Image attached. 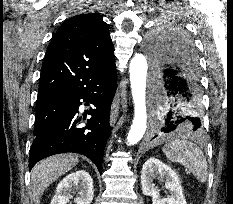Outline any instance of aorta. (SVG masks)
Returning a JSON list of instances; mask_svg holds the SVG:
<instances>
[{"mask_svg":"<svg viewBox=\"0 0 233 204\" xmlns=\"http://www.w3.org/2000/svg\"><path fill=\"white\" fill-rule=\"evenodd\" d=\"M148 64L143 54H136L130 61L129 73L134 102V119L127 136V143H138L147 128L146 77Z\"/></svg>","mask_w":233,"mask_h":204,"instance_id":"obj_1","label":"aorta"}]
</instances>
